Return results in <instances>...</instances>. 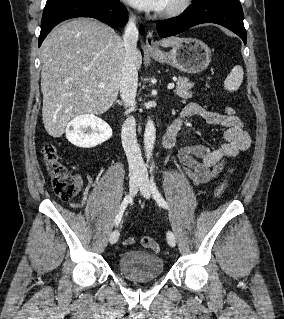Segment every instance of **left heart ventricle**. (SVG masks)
Segmentation results:
<instances>
[{"mask_svg": "<svg viewBox=\"0 0 284 319\" xmlns=\"http://www.w3.org/2000/svg\"><path fill=\"white\" fill-rule=\"evenodd\" d=\"M175 0H168L164 9L168 8Z\"/></svg>", "mask_w": 284, "mask_h": 319, "instance_id": "obj_1", "label": "left heart ventricle"}]
</instances>
